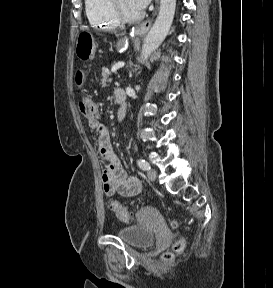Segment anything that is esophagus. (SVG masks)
<instances>
[{
	"label": "esophagus",
	"mask_w": 273,
	"mask_h": 288,
	"mask_svg": "<svg viewBox=\"0 0 273 288\" xmlns=\"http://www.w3.org/2000/svg\"><path fill=\"white\" fill-rule=\"evenodd\" d=\"M158 3V1H157ZM157 9L158 7L156 8V11L154 13V16L157 14ZM152 22H153V18L143 22L139 27H137L135 29V32L138 34V35H144L147 33V31L150 29L151 25H152Z\"/></svg>",
	"instance_id": "esophagus-1"
}]
</instances>
